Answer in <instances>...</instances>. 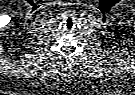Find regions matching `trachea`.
<instances>
[{"mask_svg":"<svg viewBox=\"0 0 135 95\" xmlns=\"http://www.w3.org/2000/svg\"><path fill=\"white\" fill-rule=\"evenodd\" d=\"M66 27L68 29H71L73 27V22H72V19L70 17H68V19L66 20Z\"/></svg>","mask_w":135,"mask_h":95,"instance_id":"obj_1","label":"trachea"}]
</instances>
